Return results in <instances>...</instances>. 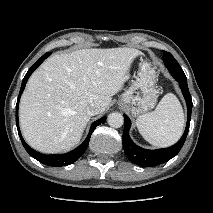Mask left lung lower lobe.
Here are the masks:
<instances>
[{"label":"left lung lower lobe","instance_id":"obj_1","mask_svg":"<svg viewBox=\"0 0 213 213\" xmlns=\"http://www.w3.org/2000/svg\"><path fill=\"white\" fill-rule=\"evenodd\" d=\"M180 88L182 90L183 96L186 100L187 104V124L186 129L181 137V139L173 146L164 149L158 150H146L139 146H137L129 137V129L131 126V121L128 116L124 115L125 125H124V132H123V147L126 156L129 160H131L134 164H137L141 167H150L162 164L174 156L178 154L181 150L186 137L189 131V125L191 120V112H192V98L190 92L188 90L187 81L177 80Z\"/></svg>","mask_w":213,"mask_h":213}]
</instances>
